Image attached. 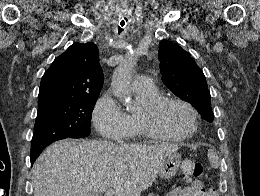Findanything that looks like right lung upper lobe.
<instances>
[{"instance_id": "right-lung-upper-lobe-1", "label": "right lung upper lobe", "mask_w": 260, "mask_h": 196, "mask_svg": "<svg viewBox=\"0 0 260 196\" xmlns=\"http://www.w3.org/2000/svg\"><path fill=\"white\" fill-rule=\"evenodd\" d=\"M94 43H74L44 73L38 106L82 95H99L103 73Z\"/></svg>"}]
</instances>
